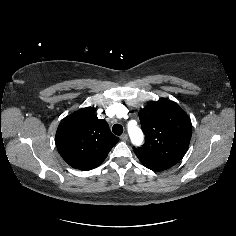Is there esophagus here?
<instances>
[{"instance_id":"esophagus-1","label":"esophagus","mask_w":236,"mask_h":236,"mask_svg":"<svg viewBox=\"0 0 236 236\" xmlns=\"http://www.w3.org/2000/svg\"><path fill=\"white\" fill-rule=\"evenodd\" d=\"M120 139H121L122 141H127L128 135H127L126 133H124V134H122V135L120 136Z\"/></svg>"}]
</instances>
